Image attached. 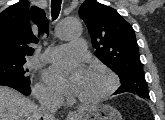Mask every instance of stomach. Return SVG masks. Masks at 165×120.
I'll use <instances>...</instances> for the list:
<instances>
[{
  "label": "stomach",
  "mask_w": 165,
  "mask_h": 120,
  "mask_svg": "<svg viewBox=\"0 0 165 120\" xmlns=\"http://www.w3.org/2000/svg\"><path fill=\"white\" fill-rule=\"evenodd\" d=\"M73 120H123L121 113L111 105L96 104L84 107Z\"/></svg>",
  "instance_id": "1"
}]
</instances>
